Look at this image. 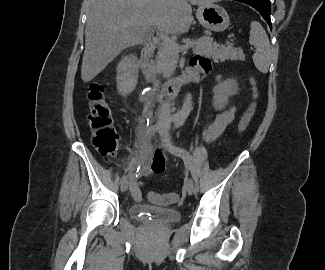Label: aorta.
Segmentation results:
<instances>
[{
  "label": "aorta",
  "instance_id": "obj_1",
  "mask_svg": "<svg viewBox=\"0 0 325 270\" xmlns=\"http://www.w3.org/2000/svg\"><path fill=\"white\" fill-rule=\"evenodd\" d=\"M191 109H192V101H191L190 95L188 94L185 97V100H184L181 110L177 113V117L181 120L186 119L188 117Z\"/></svg>",
  "mask_w": 325,
  "mask_h": 270
}]
</instances>
